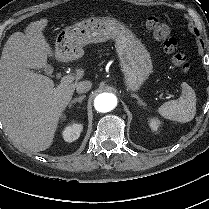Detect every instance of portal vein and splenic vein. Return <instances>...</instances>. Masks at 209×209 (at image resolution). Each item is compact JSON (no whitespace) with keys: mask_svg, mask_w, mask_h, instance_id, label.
<instances>
[{"mask_svg":"<svg viewBox=\"0 0 209 209\" xmlns=\"http://www.w3.org/2000/svg\"><path fill=\"white\" fill-rule=\"evenodd\" d=\"M73 80H74V77L71 75L63 76V77H61V85L62 86L68 85L71 82H73Z\"/></svg>","mask_w":209,"mask_h":209,"instance_id":"18ae733b","label":"portal vein and splenic vein"}]
</instances>
